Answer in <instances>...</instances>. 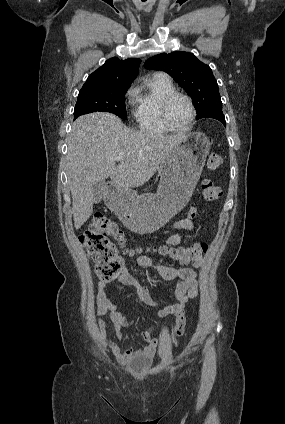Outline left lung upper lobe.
I'll return each instance as SVG.
<instances>
[{"instance_id":"left-lung-upper-lobe-1","label":"left lung upper lobe","mask_w":285,"mask_h":424,"mask_svg":"<svg viewBox=\"0 0 285 424\" xmlns=\"http://www.w3.org/2000/svg\"><path fill=\"white\" fill-rule=\"evenodd\" d=\"M147 69L168 73L192 98L197 120L214 109H222L218 84L211 68L200 62L192 53H161L149 58Z\"/></svg>"}]
</instances>
